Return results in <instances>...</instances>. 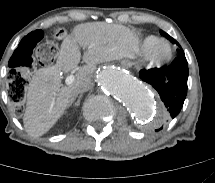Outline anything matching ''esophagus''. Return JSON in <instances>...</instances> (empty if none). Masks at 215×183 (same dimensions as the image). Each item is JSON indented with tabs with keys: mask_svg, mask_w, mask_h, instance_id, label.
I'll return each mask as SVG.
<instances>
[{
	"mask_svg": "<svg viewBox=\"0 0 215 183\" xmlns=\"http://www.w3.org/2000/svg\"><path fill=\"white\" fill-rule=\"evenodd\" d=\"M122 64H123L124 66H127V67L130 66V63H129L127 60L122 61Z\"/></svg>",
	"mask_w": 215,
	"mask_h": 183,
	"instance_id": "esophagus-1",
	"label": "esophagus"
}]
</instances>
